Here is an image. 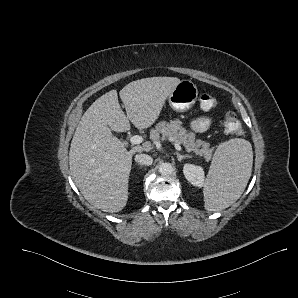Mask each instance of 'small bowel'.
<instances>
[{
	"label": "small bowel",
	"instance_id": "obj_1",
	"mask_svg": "<svg viewBox=\"0 0 298 298\" xmlns=\"http://www.w3.org/2000/svg\"><path fill=\"white\" fill-rule=\"evenodd\" d=\"M212 123L210 117H199L192 121L191 127L195 132H204L206 131Z\"/></svg>",
	"mask_w": 298,
	"mask_h": 298
}]
</instances>
